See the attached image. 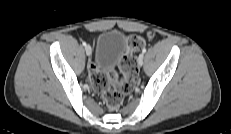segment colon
Returning <instances> with one entry per match:
<instances>
[{
    "instance_id": "1",
    "label": "colon",
    "mask_w": 231,
    "mask_h": 134,
    "mask_svg": "<svg viewBox=\"0 0 231 134\" xmlns=\"http://www.w3.org/2000/svg\"><path fill=\"white\" fill-rule=\"evenodd\" d=\"M153 35L146 37L129 35L126 45L127 52L119 61V68L123 74L122 79L115 71L108 74L100 72L95 65L89 68V81L92 88L101 95L110 110H116L123 102L125 95L129 94L135 85L138 75L137 61L134 53L139 51Z\"/></svg>"
}]
</instances>
